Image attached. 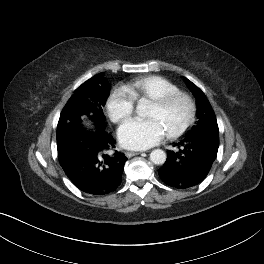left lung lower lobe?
Segmentation results:
<instances>
[{
    "instance_id": "obj_1",
    "label": "left lung lower lobe",
    "mask_w": 264,
    "mask_h": 264,
    "mask_svg": "<svg viewBox=\"0 0 264 264\" xmlns=\"http://www.w3.org/2000/svg\"><path fill=\"white\" fill-rule=\"evenodd\" d=\"M174 146L178 150L167 151V160L158 173L167 185L185 189L198 185L208 175L217 156L219 135L216 131H199Z\"/></svg>"
}]
</instances>
